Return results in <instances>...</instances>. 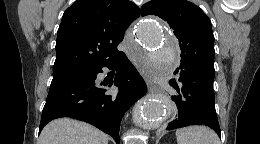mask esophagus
Wrapping results in <instances>:
<instances>
[{
    "mask_svg": "<svg viewBox=\"0 0 260 144\" xmlns=\"http://www.w3.org/2000/svg\"><path fill=\"white\" fill-rule=\"evenodd\" d=\"M143 77L146 80L149 93H155L159 91L158 85L153 82V76L151 73H143Z\"/></svg>",
    "mask_w": 260,
    "mask_h": 144,
    "instance_id": "obj_1",
    "label": "esophagus"
}]
</instances>
